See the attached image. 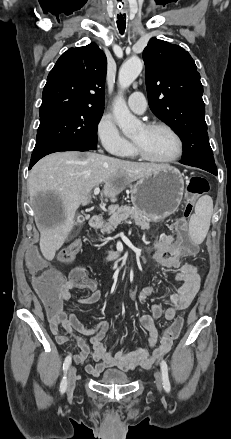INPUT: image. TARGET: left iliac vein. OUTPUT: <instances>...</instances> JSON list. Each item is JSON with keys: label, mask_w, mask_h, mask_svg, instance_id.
Returning <instances> with one entry per match:
<instances>
[{"label": "left iliac vein", "mask_w": 231, "mask_h": 439, "mask_svg": "<svg viewBox=\"0 0 231 439\" xmlns=\"http://www.w3.org/2000/svg\"><path fill=\"white\" fill-rule=\"evenodd\" d=\"M155 384H156L158 391H161L163 383H162L161 373L158 370L155 372Z\"/></svg>", "instance_id": "1"}]
</instances>
